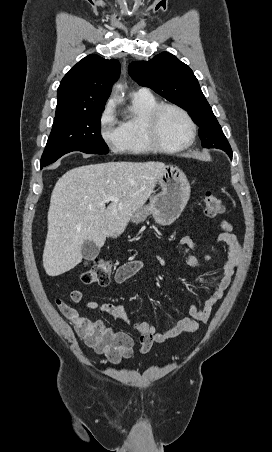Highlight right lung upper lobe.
<instances>
[{
    "mask_svg": "<svg viewBox=\"0 0 272 452\" xmlns=\"http://www.w3.org/2000/svg\"><path fill=\"white\" fill-rule=\"evenodd\" d=\"M120 74L116 59L91 54L78 62L62 79L57 91L55 116L103 108L111 86Z\"/></svg>",
    "mask_w": 272,
    "mask_h": 452,
    "instance_id": "cb5924a9",
    "label": "right lung upper lobe"
}]
</instances>
